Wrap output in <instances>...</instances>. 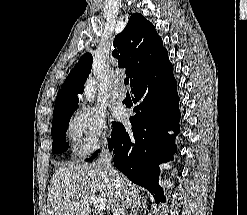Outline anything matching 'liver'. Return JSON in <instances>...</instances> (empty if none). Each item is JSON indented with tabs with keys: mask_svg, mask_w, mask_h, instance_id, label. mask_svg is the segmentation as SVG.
I'll return each mask as SVG.
<instances>
[{
	"mask_svg": "<svg viewBox=\"0 0 247 215\" xmlns=\"http://www.w3.org/2000/svg\"><path fill=\"white\" fill-rule=\"evenodd\" d=\"M120 183L112 182L99 163L60 166L48 187V215H88L92 198L103 199L108 213L115 215L117 200L126 206L145 204L135 187L119 174Z\"/></svg>",
	"mask_w": 247,
	"mask_h": 215,
	"instance_id": "obj_1",
	"label": "liver"
}]
</instances>
